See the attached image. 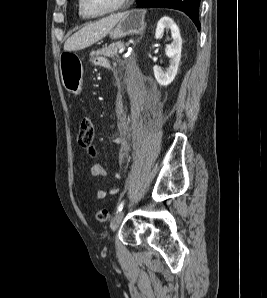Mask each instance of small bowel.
Segmentation results:
<instances>
[{"label": "small bowel", "instance_id": "1", "mask_svg": "<svg viewBox=\"0 0 267 298\" xmlns=\"http://www.w3.org/2000/svg\"><path fill=\"white\" fill-rule=\"evenodd\" d=\"M93 64L98 66V67H101L103 69L109 70V71L112 70V66H111L110 62L108 61V59L105 58V57H102V56L95 57L93 59ZM159 109H160V104H159L158 101L151 102L150 111L152 112V114H157ZM132 113L133 114H136V113L140 114V110L138 108L137 103L133 104ZM91 174L95 177L100 178V179H107V177H108L107 170L100 164H95V165L92 166ZM117 191H118L117 188H111L108 191L104 190V189H99L97 191L96 196H97V199L102 200L107 196V194L113 195V194H116Z\"/></svg>", "mask_w": 267, "mask_h": 298}]
</instances>
